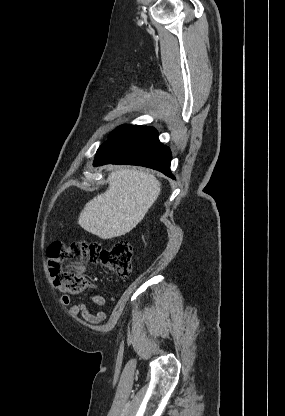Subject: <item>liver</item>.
<instances>
[{
  "instance_id": "1",
  "label": "liver",
  "mask_w": 285,
  "mask_h": 416,
  "mask_svg": "<svg viewBox=\"0 0 285 416\" xmlns=\"http://www.w3.org/2000/svg\"><path fill=\"white\" fill-rule=\"evenodd\" d=\"M109 188L85 204L78 224L101 240L131 232L156 202L161 184L153 174L116 168L107 178Z\"/></svg>"
}]
</instances>
